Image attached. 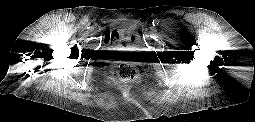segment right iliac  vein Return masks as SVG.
<instances>
[{
  "mask_svg": "<svg viewBox=\"0 0 255 122\" xmlns=\"http://www.w3.org/2000/svg\"><path fill=\"white\" fill-rule=\"evenodd\" d=\"M89 31H90V32H94V27L91 26V27L89 28Z\"/></svg>",
  "mask_w": 255,
  "mask_h": 122,
  "instance_id": "right-iliac-vein-1",
  "label": "right iliac vein"
}]
</instances>
